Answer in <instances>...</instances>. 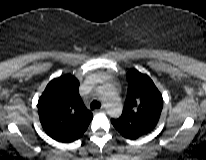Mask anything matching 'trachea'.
I'll return each instance as SVG.
<instances>
[{
	"label": "trachea",
	"mask_w": 206,
	"mask_h": 160,
	"mask_svg": "<svg viewBox=\"0 0 206 160\" xmlns=\"http://www.w3.org/2000/svg\"><path fill=\"white\" fill-rule=\"evenodd\" d=\"M91 109H98L100 108V103L97 100L92 101L90 105Z\"/></svg>",
	"instance_id": "3493384b"
}]
</instances>
